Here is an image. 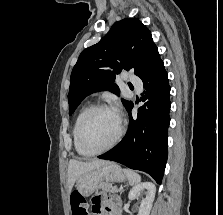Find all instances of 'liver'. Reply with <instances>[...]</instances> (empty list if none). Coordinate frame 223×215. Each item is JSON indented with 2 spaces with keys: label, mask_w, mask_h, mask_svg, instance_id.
Listing matches in <instances>:
<instances>
[{
  "label": "liver",
  "mask_w": 223,
  "mask_h": 215,
  "mask_svg": "<svg viewBox=\"0 0 223 215\" xmlns=\"http://www.w3.org/2000/svg\"><path fill=\"white\" fill-rule=\"evenodd\" d=\"M105 159H92V161H77V159H70L68 163V193L70 195L71 189L77 181L78 177L86 171H92L95 167H99L104 163Z\"/></svg>",
  "instance_id": "liver-1"
}]
</instances>
